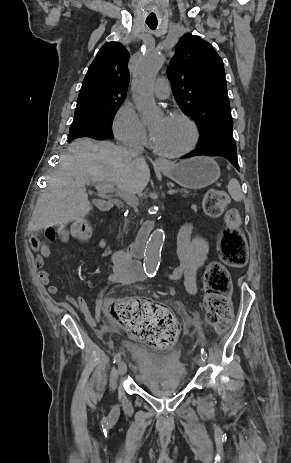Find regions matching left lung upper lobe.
I'll list each match as a JSON object with an SVG mask.
<instances>
[{
	"mask_svg": "<svg viewBox=\"0 0 291 463\" xmlns=\"http://www.w3.org/2000/svg\"><path fill=\"white\" fill-rule=\"evenodd\" d=\"M176 102L196 122L202 148L236 150L223 61L211 44L186 34L168 67Z\"/></svg>",
	"mask_w": 291,
	"mask_h": 463,
	"instance_id": "5c2ea615",
	"label": "left lung upper lobe"
}]
</instances>
